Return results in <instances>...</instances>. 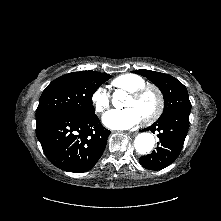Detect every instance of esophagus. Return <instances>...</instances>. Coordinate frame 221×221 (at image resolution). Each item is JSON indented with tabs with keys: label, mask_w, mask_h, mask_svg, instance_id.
Segmentation results:
<instances>
[{
	"label": "esophagus",
	"mask_w": 221,
	"mask_h": 221,
	"mask_svg": "<svg viewBox=\"0 0 221 221\" xmlns=\"http://www.w3.org/2000/svg\"><path fill=\"white\" fill-rule=\"evenodd\" d=\"M128 134H131V135H136V133H132V131H129L127 132Z\"/></svg>",
	"instance_id": "1"
}]
</instances>
